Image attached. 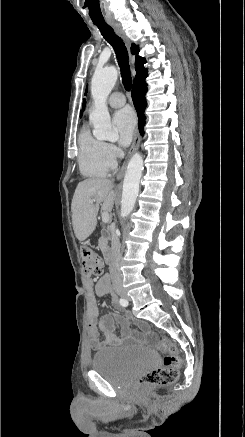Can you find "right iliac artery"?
<instances>
[{"mask_svg": "<svg viewBox=\"0 0 245 437\" xmlns=\"http://www.w3.org/2000/svg\"><path fill=\"white\" fill-rule=\"evenodd\" d=\"M119 303H120V305L123 306V307H126V306L128 305V301L125 300V299H123V298H121V299L119 300Z\"/></svg>", "mask_w": 245, "mask_h": 437, "instance_id": "82829eb1", "label": "right iliac artery"}]
</instances>
